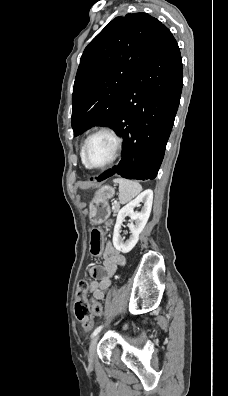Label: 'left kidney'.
Masks as SVG:
<instances>
[{"mask_svg":"<svg viewBox=\"0 0 228 396\" xmlns=\"http://www.w3.org/2000/svg\"><path fill=\"white\" fill-rule=\"evenodd\" d=\"M152 201V190H145L118 212L113 233V245L118 251L128 253L137 244L139 235L144 229L150 216ZM141 203L143 204L142 210L140 212H134V208L140 206ZM126 216H130L131 220L135 223L129 224L131 235L129 239L124 242V239L120 236V230Z\"/></svg>","mask_w":228,"mask_h":396,"instance_id":"obj_1","label":"left kidney"}]
</instances>
